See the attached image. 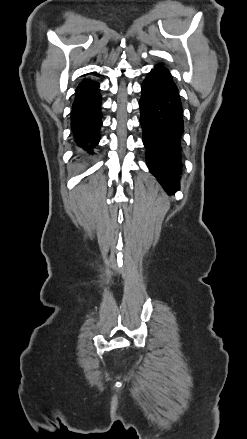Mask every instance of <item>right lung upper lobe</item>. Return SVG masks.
<instances>
[{
  "mask_svg": "<svg viewBox=\"0 0 247 439\" xmlns=\"http://www.w3.org/2000/svg\"><path fill=\"white\" fill-rule=\"evenodd\" d=\"M94 83H95L94 81L84 79V80L79 84V86H78L77 89L87 87V86H89V85H91V84H94Z\"/></svg>",
  "mask_w": 247,
  "mask_h": 439,
  "instance_id": "1",
  "label": "right lung upper lobe"
}]
</instances>
